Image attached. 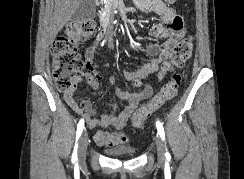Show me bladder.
<instances>
[{"mask_svg": "<svg viewBox=\"0 0 244 179\" xmlns=\"http://www.w3.org/2000/svg\"><path fill=\"white\" fill-rule=\"evenodd\" d=\"M104 152L108 156L133 157L134 154L136 153V150L132 148H120V149L104 148Z\"/></svg>", "mask_w": 244, "mask_h": 179, "instance_id": "obj_1", "label": "bladder"}]
</instances>
